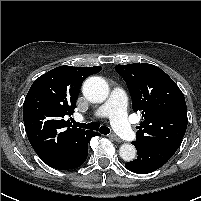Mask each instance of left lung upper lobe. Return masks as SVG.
<instances>
[{
    "instance_id": "left-lung-upper-lobe-1",
    "label": "left lung upper lobe",
    "mask_w": 201,
    "mask_h": 201,
    "mask_svg": "<svg viewBox=\"0 0 201 201\" xmlns=\"http://www.w3.org/2000/svg\"><path fill=\"white\" fill-rule=\"evenodd\" d=\"M129 89L132 108L143 121L134 145L178 148L187 128V107L176 83L159 67L146 63L116 65Z\"/></svg>"
}]
</instances>
